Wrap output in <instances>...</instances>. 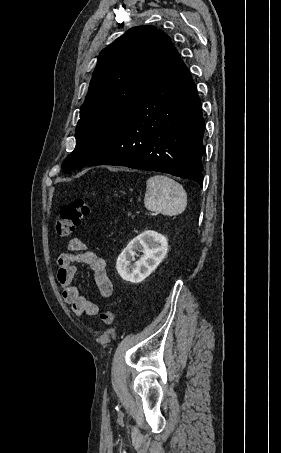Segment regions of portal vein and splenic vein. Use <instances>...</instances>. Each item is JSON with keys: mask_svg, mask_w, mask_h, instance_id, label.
I'll return each instance as SVG.
<instances>
[{"mask_svg": "<svg viewBox=\"0 0 281 453\" xmlns=\"http://www.w3.org/2000/svg\"><path fill=\"white\" fill-rule=\"evenodd\" d=\"M136 212H137L136 214L138 215V214L140 213V210H137ZM160 213H161L160 211L158 212V211L156 210L155 212H151V213L149 212L148 214H149V215L151 214V215H153L154 217H157V215H159Z\"/></svg>", "mask_w": 281, "mask_h": 453, "instance_id": "obj_1", "label": "portal vein and splenic vein"}]
</instances>
